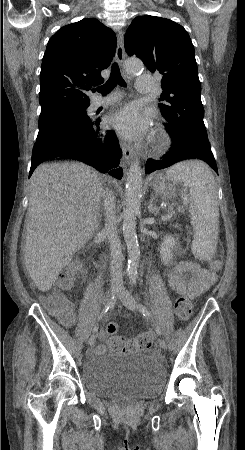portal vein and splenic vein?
Returning <instances> with one entry per match:
<instances>
[{
  "mask_svg": "<svg viewBox=\"0 0 245 450\" xmlns=\"http://www.w3.org/2000/svg\"><path fill=\"white\" fill-rule=\"evenodd\" d=\"M187 203H188V201H187V199H185L184 204L187 205ZM172 216H173V213L170 212V213H168V214L162 216V219H163V220H167V219H169V218L172 217Z\"/></svg>",
  "mask_w": 245,
  "mask_h": 450,
  "instance_id": "obj_1",
  "label": "portal vein and splenic vein"
}]
</instances>
